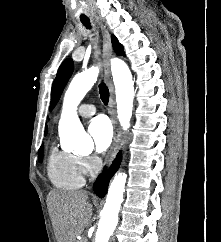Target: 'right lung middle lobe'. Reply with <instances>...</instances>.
<instances>
[{"label": "right lung middle lobe", "mask_w": 221, "mask_h": 242, "mask_svg": "<svg viewBox=\"0 0 221 242\" xmlns=\"http://www.w3.org/2000/svg\"><path fill=\"white\" fill-rule=\"evenodd\" d=\"M43 158V145L40 147L39 149V153H38V159L41 162Z\"/></svg>", "instance_id": "1"}]
</instances>
